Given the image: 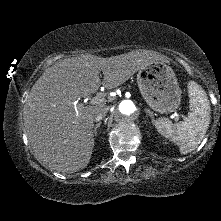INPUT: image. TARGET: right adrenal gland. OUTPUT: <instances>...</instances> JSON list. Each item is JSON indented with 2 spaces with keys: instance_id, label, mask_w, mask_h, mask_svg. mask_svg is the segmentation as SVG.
Returning a JSON list of instances; mask_svg holds the SVG:
<instances>
[{
  "instance_id": "1",
  "label": "right adrenal gland",
  "mask_w": 221,
  "mask_h": 221,
  "mask_svg": "<svg viewBox=\"0 0 221 221\" xmlns=\"http://www.w3.org/2000/svg\"><path fill=\"white\" fill-rule=\"evenodd\" d=\"M101 124H102V122H99L98 124L95 125L94 130H93L94 136L97 135V130L101 126Z\"/></svg>"
}]
</instances>
